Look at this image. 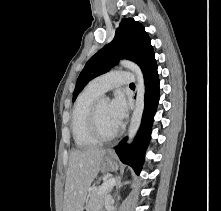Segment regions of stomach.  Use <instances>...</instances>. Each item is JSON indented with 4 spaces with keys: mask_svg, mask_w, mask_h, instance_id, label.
<instances>
[{
    "mask_svg": "<svg viewBox=\"0 0 221 211\" xmlns=\"http://www.w3.org/2000/svg\"><path fill=\"white\" fill-rule=\"evenodd\" d=\"M118 164L115 160V157L111 154H108L102 158L100 170L102 172L116 171L118 170Z\"/></svg>",
    "mask_w": 221,
    "mask_h": 211,
    "instance_id": "stomach-1",
    "label": "stomach"
}]
</instances>
